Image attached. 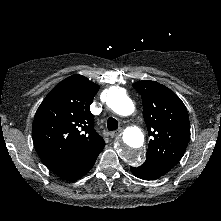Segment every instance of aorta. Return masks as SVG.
Listing matches in <instances>:
<instances>
[{
	"label": "aorta",
	"mask_w": 221,
	"mask_h": 221,
	"mask_svg": "<svg viewBox=\"0 0 221 221\" xmlns=\"http://www.w3.org/2000/svg\"><path fill=\"white\" fill-rule=\"evenodd\" d=\"M107 105L118 115L129 116L134 112V103L117 87L109 89ZM144 135L140 128L131 126L124 130L118 146V155L129 165H139L143 160Z\"/></svg>",
	"instance_id": "1"
}]
</instances>
